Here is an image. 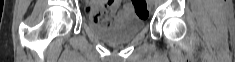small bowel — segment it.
Masks as SVG:
<instances>
[{"label":"small bowel","mask_w":235,"mask_h":62,"mask_svg":"<svg viewBox=\"0 0 235 62\" xmlns=\"http://www.w3.org/2000/svg\"><path fill=\"white\" fill-rule=\"evenodd\" d=\"M106 4H107V6L110 9V11L112 13V18H113V15L116 13V11L118 10V8L120 6V1L119 0L109 1ZM94 7H95V3L88 7V15H89L90 19H92L94 21H97L93 17ZM130 11H131V4L130 3H126L125 4V11L124 12H130Z\"/></svg>","instance_id":"obj_1"}]
</instances>
